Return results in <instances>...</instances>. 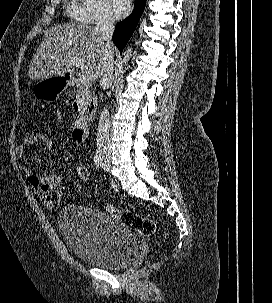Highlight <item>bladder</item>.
<instances>
[{"instance_id":"1","label":"bladder","mask_w":272,"mask_h":303,"mask_svg":"<svg viewBox=\"0 0 272 303\" xmlns=\"http://www.w3.org/2000/svg\"><path fill=\"white\" fill-rule=\"evenodd\" d=\"M58 228L80 261L105 269L129 265L139 253L136 234L111 215L86 206L63 207Z\"/></svg>"}]
</instances>
